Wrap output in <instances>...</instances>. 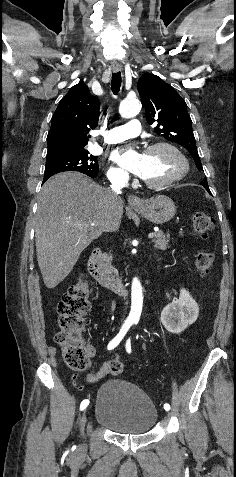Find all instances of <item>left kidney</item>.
<instances>
[{"mask_svg":"<svg viewBox=\"0 0 236 477\" xmlns=\"http://www.w3.org/2000/svg\"><path fill=\"white\" fill-rule=\"evenodd\" d=\"M198 315V304L187 290L181 289L179 299L168 304L162 310L160 321L167 331L179 334L193 324Z\"/></svg>","mask_w":236,"mask_h":477,"instance_id":"left-kidney-1","label":"left kidney"}]
</instances>
